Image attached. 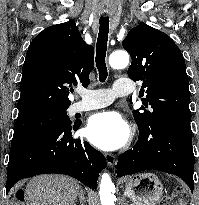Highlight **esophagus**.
I'll list each match as a JSON object with an SVG mask.
<instances>
[{
	"mask_svg": "<svg viewBox=\"0 0 199 205\" xmlns=\"http://www.w3.org/2000/svg\"><path fill=\"white\" fill-rule=\"evenodd\" d=\"M105 159L107 161V164L109 166H113L116 162V157L114 154H111V153H105Z\"/></svg>",
	"mask_w": 199,
	"mask_h": 205,
	"instance_id": "esophagus-1",
	"label": "esophagus"
}]
</instances>
